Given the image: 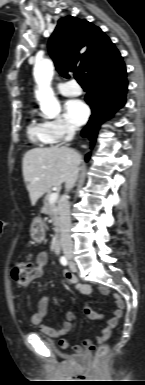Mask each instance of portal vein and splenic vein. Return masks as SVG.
Here are the masks:
<instances>
[{
  "instance_id": "1",
  "label": "portal vein and splenic vein",
  "mask_w": 145,
  "mask_h": 385,
  "mask_svg": "<svg viewBox=\"0 0 145 385\" xmlns=\"http://www.w3.org/2000/svg\"><path fill=\"white\" fill-rule=\"evenodd\" d=\"M58 199V192H53L49 196V203L52 204Z\"/></svg>"
}]
</instances>
